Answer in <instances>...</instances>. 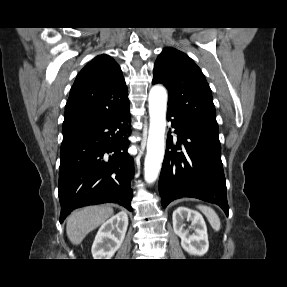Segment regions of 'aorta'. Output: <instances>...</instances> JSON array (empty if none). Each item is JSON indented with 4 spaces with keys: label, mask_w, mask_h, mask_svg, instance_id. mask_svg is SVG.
Here are the masks:
<instances>
[{
    "label": "aorta",
    "mask_w": 287,
    "mask_h": 287,
    "mask_svg": "<svg viewBox=\"0 0 287 287\" xmlns=\"http://www.w3.org/2000/svg\"><path fill=\"white\" fill-rule=\"evenodd\" d=\"M148 103L150 125L144 161V178L147 183H153L158 178L165 153L166 89L161 85L153 86L149 92Z\"/></svg>",
    "instance_id": "1"
}]
</instances>
